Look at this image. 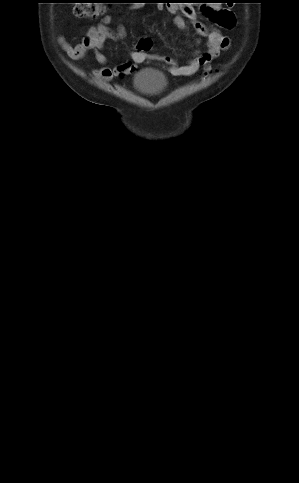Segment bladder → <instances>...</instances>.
Returning <instances> with one entry per match:
<instances>
[{
	"label": "bladder",
	"mask_w": 299,
	"mask_h": 483,
	"mask_svg": "<svg viewBox=\"0 0 299 483\" xmlns=\"http://www.w3.org/2000/svg\"><path fill=\"white\" fill-rule=\"evenodd\" d=\"M135 86L139 92L149 94L162 90L166 86V80L160 73L147 70L136 76Z\"/></svg>",
	"instance_id": "31cf9c89"
}]
</instances>
